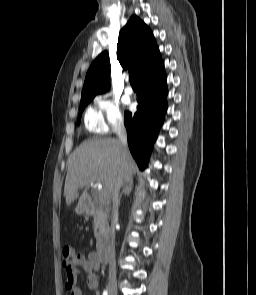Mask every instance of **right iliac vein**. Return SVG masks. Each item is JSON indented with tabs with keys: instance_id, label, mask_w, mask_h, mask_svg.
Returning a JSON list of instances; mask_svg holds the SVG:
<instances>
[{
	"instance_id": "obj_1",
	"label": "right iliac vein",
	"mask_w": 256,
	"mask_h": 295,
	"mask_svg": "<svg viewBox=\"0 0 256 295\" xmlns=\"http://www.w3.org/2000/svg\"><path fill=\"white\" fill-rule=\"evenodd\" d=\"M107 290H108V295H117L116 279L114 276L109 277Z\"/></svg>"
}]
</instances>
